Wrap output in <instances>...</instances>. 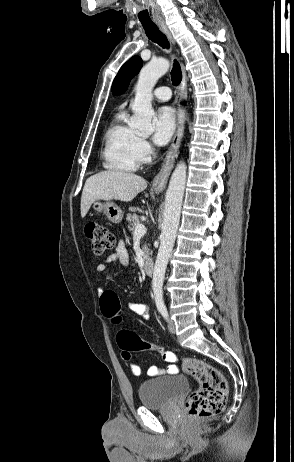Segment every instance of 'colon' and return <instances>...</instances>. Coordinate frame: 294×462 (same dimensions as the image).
I'll use <instances>...</instances> for the list:
<instances>
[{"label": "colon", "mask_w": 294, "mask_h": 462, "mask_svg": "<svg viewBox=\"0 0 294 462\" xmlns=\"http://www.w3.org/2000/svg\"><path fill=\"white\" fill-rule=\"evenodd\" d=\"M84 231L96 255H103L114 246L115 238L108 228L90 222L85 225ZM100 307L102 314L113 324L121 323V305L114 291L105 290L101 294ZM116 339L126 357H131V352L136 351H159V346L142 340L129 330H120ZM182 367L199 383V388L186 400L185 409L188 416L203 418L221 413L225 408L228 393L227 381L223 374L214 366L197 358H184Z\"/></svg>", "instance_id": "colon-1"}]
</instances>
